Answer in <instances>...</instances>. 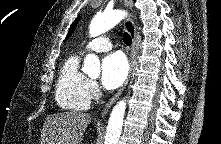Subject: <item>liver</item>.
<instances>
[{
	"label": "liver",
	"instance_id": "liver-1",
	"mask_svg": "<svg viewBox=\"0 0 221 144\" xmlns=\"http://www.w3.org/2000/svg\"><path fill=\"white\" fill-rule=\"evenodd\" d=\"M91 116L82 112H63L46 117L41 144H80Z\"/></svg>",
	"mask_w": 221,
	"mask_h": 144
}]
</instances>
